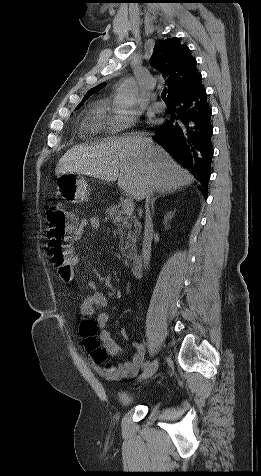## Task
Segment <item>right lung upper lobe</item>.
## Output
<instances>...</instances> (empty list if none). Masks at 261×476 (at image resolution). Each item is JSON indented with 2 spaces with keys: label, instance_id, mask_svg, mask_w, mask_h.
<instances>
[{
  "label": "right lung upper lobe",
  "instance_id": "obj_1",
  "mask_svg": "<svg viewBox=\"0 0 261 476\" xmlns=\"http://www.w3.org/2000/svg\"><path fill=\"white\" fill-rule=\"evenodd\" d=\"M150 65L167 79L170 101L192 90L201 77L190 49L178 38H168L158 42L154 47ZM100 87L101 84L90 89L77 107Z\"/></svg>",
  "mask_w": 261,
  "mask_h": 476
}]
</instances>
